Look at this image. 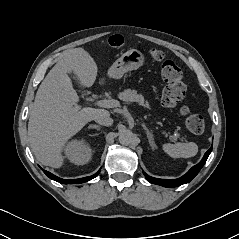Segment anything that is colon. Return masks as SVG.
Masks as SVG:
<instances>
[{
  "label": "colon",
  "instance_id": "colon-1",
  "mask_svg": "<svg viewBox=\"0 0 239 239\" xmlns=\"http://www.w3.org/2000/svg\"><path fill=\"white\" fill-rule=\"evenodd\" d=\"M108 45L112 48H119L123 45V39L119 35H114L109 38ZM151 57L155 61H163L161 76L165 86L162 91L161 102L165 107H176L186 93L182 70L174 61L164 60V54L160 50L153 49ZM180 114L184 117L186 127L191 133L201 134L204 131L205 121L201 115L192 113L187 107H182Z\"/></svg>",
  "mask_w": 239,
  "mask_h": 239
}]
</instances>
